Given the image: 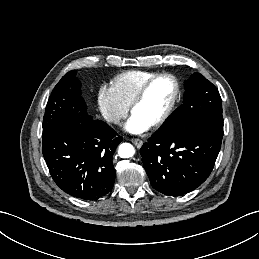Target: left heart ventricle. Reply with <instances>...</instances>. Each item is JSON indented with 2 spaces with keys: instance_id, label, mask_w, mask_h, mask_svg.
I'll list each match as a JSON object with an SVG mask.
<instances>
[{
  "instance_id": "1",
  "label": "left heart ventricle",
  "mask_w": 259,
  "mask_h": 259,
  "mask_svg": "<svg viewBox=\"0 0 259 259\" xmlns=\"http://www.w3.org/2000/svg\"><path fill=\"white\" fill-rule=\"evenodd\" d=\"M174 93V86L170 79L156 80L148 89L142 101L136 105L133 114L150 125L164 113Z\"/></svg>"
}]
</instances>
